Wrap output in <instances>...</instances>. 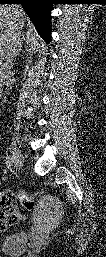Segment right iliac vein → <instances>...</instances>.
Here are the masks:
<instances>
[{"instance_id": "63e3f726", "label": "right iliac vein", "mask_w": 106, "mask_h": 257, "mask_svg": "<svg viewBox=\"0 0 106 257\" xmlns=\"http://www.w3.org/2000/svg\"><path fill=\"white\" fill-rule=\"evenodd\" d=\"M12 158L16 168L18 170H22L24 165V157L15 141L12 142Z\"/></svg>"}]
</instances>
